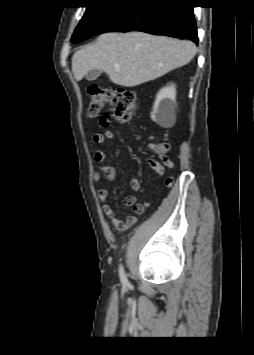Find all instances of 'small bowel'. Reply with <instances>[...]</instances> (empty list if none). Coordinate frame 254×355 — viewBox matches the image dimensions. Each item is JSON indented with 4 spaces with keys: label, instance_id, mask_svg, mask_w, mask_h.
Wrapping results in <instances>:
<instances>
[{
    "label": "small bowel",
    "instance_id": "c3829d8e",
    "mask_svg": "<svg viewBox=\"0 0 254 355\" xmlns=\"http://www.w3.org/2000/svg\"><path fill=\"white\" fill-rule=\"evenodd\" d=\"M103 127H106L109 125V120L104 119V121L100 124ZM115 137L113 131L111 130H106L103 133H95L92 137L93 141L95 144L98 146L103 145L106 140H113ZM160 158L163 160L165 165H167L169 168H173L174 164L171 160H169L165 156H160ZM94 160L96 163V166L98 168V171H95L92 176V180L94 183H99L103 179H106L108 181H112L116 177V170L108 165H105V152L102 148L98 147L96 148L94 152ZM147 163L150 166L152 170H154L158 175L162 176L165 174V167L157 160L153 158L147 159ZM130 188L133 191H138L140 189V181L138 178H132L130 180ZM98 199L101 203V209L102 212L112 221L113 225L115 228L119 231H126L128 230L132 225H134L137 222V214H140L143 212V206L142 205H136L137 203V198L134 195H128L125 200L124 204L127 207H132L135 206L134 212L135 214L130 215L127 217L125 221L119 219L116 215L115 210L113 209L112 206H110L107 203L108 200V190L106 188H101L98 190L97 193Z\"/></svg>",
    "mask_w": 254,
    "mask_h": 355
}]
</instances>
